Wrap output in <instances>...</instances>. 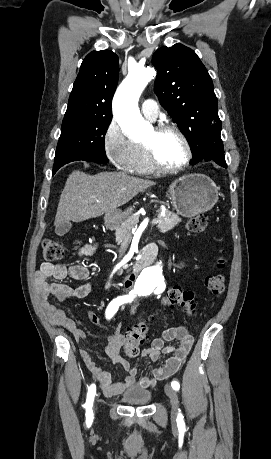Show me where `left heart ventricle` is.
Returning <instances> with one entry per match:
<instances>
[{
  "instance_id": "obj_1",
  "label": "left heart ventricle",
  "mask_w": 271,
  "mask_h": 459,
  "mask_svg": "<svg viewBox=\"0 0 271 459\" xmlns=\"http://www.w3.org/2000/svg\"><path fill=\"white\" fill-rule=\"evenodd\" d=\"M145 142L153 145L162 161L167 164L179 163L186 157L185 144L175 132L168 131L157 136L152 130Z\"/></svg>"
}]
</instances>
